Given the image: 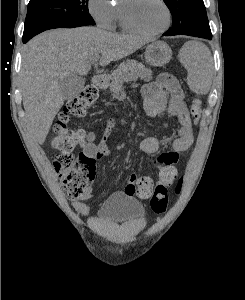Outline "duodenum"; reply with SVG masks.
<instances>
[{
	"instance_id": "1",
	"label": "duodenum",
	"mask_w": 245,
	"mask_h": 300,
	"mask_svg": "<svg viewBox=\"0 0 245 300\" xmlns=\"http://www.w3.org/2000/svg\"><path fill=\"white\" fill-rule=\"evenodd\" d=\"M92 82L97 88L103 89L107 85V78L103 74H96L92 77Z\"/></svg>"
}]
</instances>
